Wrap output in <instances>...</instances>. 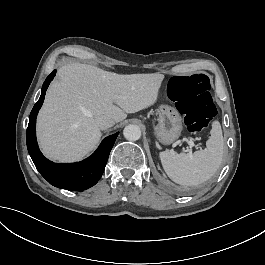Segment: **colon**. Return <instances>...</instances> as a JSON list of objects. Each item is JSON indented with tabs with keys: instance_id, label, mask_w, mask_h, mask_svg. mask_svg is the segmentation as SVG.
I'll return each mask as SVG.
<instances>
[{
	"instance_id": "5ec220e1",
	"label": "colon",
	"mask_w": 265,
	"mask_h": 265,
	"mask_svg": "<svg viewBox=\"0 0 265 265\" xmlns=\"http://www.w3.org/2000/svg\"><path fill=\"white\" fill-rule=\"evenodd\" d=\"M170 93L178 100L177 108L185 116L188 129L193 133L205 130L216 115V106L211 96L212 84L207 76L194 73L178 76L169 85Z\"/></svg>"
}]
</instances>
